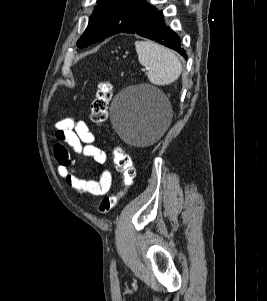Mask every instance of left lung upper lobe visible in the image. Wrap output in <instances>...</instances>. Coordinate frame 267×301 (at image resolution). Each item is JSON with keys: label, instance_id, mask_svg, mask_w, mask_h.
<instances>
[{"label": "left lung upper lobe", "instance_id": "5c2ea615", "mask_svg": "<svg viewBox=\"0 0 267 301\" xmlns=\"http://www.w3.org/2000/svg\"><path fill=\"white\" fill-rule=\"evenodd\" d=\"M154 9L146 0H97V6L77 45L87 47L120 33L145 19Z\"/></svg>", "mask_w": 267, "mask_h": 301}]
</instances>
